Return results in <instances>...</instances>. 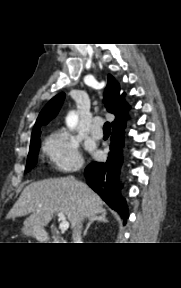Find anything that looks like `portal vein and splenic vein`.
I'll list each match as a JSON object with an SVG mask.
<instances>
[{
	"label": "portal vein and splenic vein",
	"mask_w": 181,
	"mask_h": 288,
	"mask_svg": "<svg viewBox=\"0 0 181 288\" xmlns=\"http://www.w3.org/2000/svg\"><path fill=\"white\" fill-rule=\"evenodd\" d=\"M59 220L61 221L59 224V229L61 231H66L69 228V222L66 220L65 214L62 212L58 213Z\"/></svg>",
	"instance_id": "18ae733b"
}]
</instances>
